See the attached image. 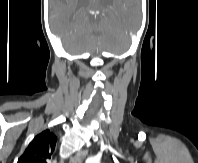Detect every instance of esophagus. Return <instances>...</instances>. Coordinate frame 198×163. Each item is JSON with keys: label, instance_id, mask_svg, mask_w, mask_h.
<instances>
[{"label": "esophagus", "instance_id": "34e87169", "mask_svg": "<svg viewBox=\"0 0 198 163\" xmlns=\"http://www.w3.org/2000/svg\"><path fill=\"white\" fill-rule=\"evenodd\" d=\"M87 154H88V149H83V150L77 152L70 159V163H82Z\"/></svg>", "mask_w": 198, "mask_h": 163}]
</instances>
